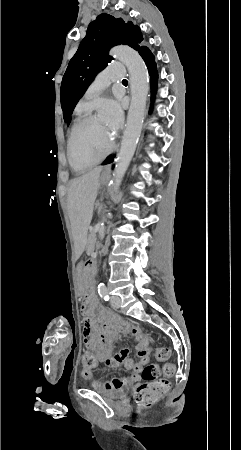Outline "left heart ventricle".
Returning a JSON list of instances; mask_svg holds the SVG:
<instances>
[{"mask_svg": "<svg viewBox=\"0 0 241 450\" xmlns=\"http://www.w3.org/2000/svg\"><path fill=\"white\" fill-rule=\"evenodd\" d=\"M76 129L80 131V136L74 144L75 155L79 157L78 162L87 169H94L95 160H104L106 153L110 152L114 132L99 114L84 116Z\"/></svg>", "mask_w": 241, "mask_h": 450, "instance_id": "b2bd125f", "label": "left heart ventricle"}]
</instances>
